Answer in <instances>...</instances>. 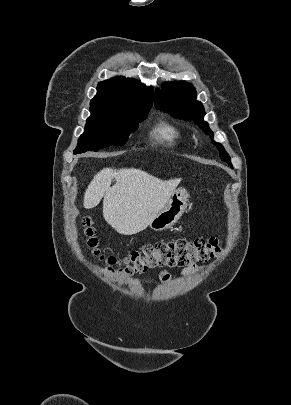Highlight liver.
<instances>
[{
    "instance_id": "1",
    "label": "liver",
    "mask_w": 291,
    "mask_h": 405,
    "mask_svg": "<svg viewBox=\"0 0 291 405\" xmlns=\"http://www.w3.org/2000/svg\"><path fill=\"white\" fill-rule=\"evenodd\" d=\"M180 181H164L135 168H104L88 185L84 207L94 208L103 198L105 221L120 234H136L165 207Z\"/></svg>"
}]
</instances>
